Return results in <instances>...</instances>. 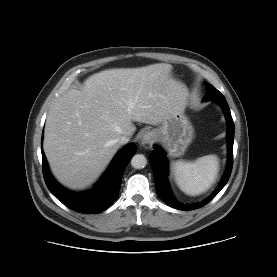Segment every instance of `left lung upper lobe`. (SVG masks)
Returning a JSON list of instances; mask_svg holds the SVG:
<instances>
[{"mask_svg": "<svg viewBox=\"0 0 277 277\" xmlns=\"http://www.w3.org/2000/svg\"><path fill=\"white\" fill-rule=\"evenodd\" d=\"M206 85V95L204 96V101H219V100H225V97L222 95L220 91H218L215 87H213L209 83H205Z\"/></svg>", "mask_w": 277, "mask_h": 277, "instance_id": "5c2ea615", "label": "left lung upper lobe"}]
</instances>
